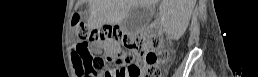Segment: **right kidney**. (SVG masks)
<instances>
[{"label": "right kidney", "mask_w": 258, "mask_h": 77, "mask_svg": "<svg viewBox=\"0 0 258 77\" xmlns=\"http://www.w3.org/2000/svg\"><path fill=\"white\" fill-rule=\"evenodd\" d=\"M162 8L164 11L169 9V16L173 14L174 8L167 6H163ZM186 26H183L178 17L174 19L171 18V21L166 25L168 36L171 39L178 40L183 35Z\"/></svg>", "instance_id": "obj_1"}]
</instances>
